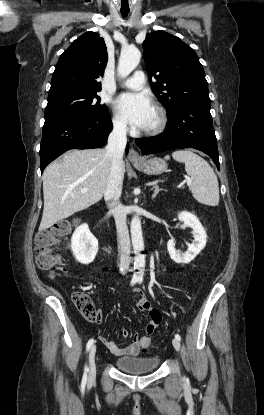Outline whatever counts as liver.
<instances>
[{
  "instance_id": "6515ba94",
  "label": "liver",
  "mask_w": 264,
  "mask_h": 415,
  "mask_svg": "<svg viewBox=\"0 0 264 415\" xmlns=\"http://www.w3.org/2000/svg\"><path fill=\"white\" fill-rule=\"evenodd\" d=\"M111 167L106 149L71 150L43 173L44 209L39 231L97 203L105 194ZM124 175L125 164H122ZM88 189L82 193V189Z\"/></svg>"
}]
</instances>
